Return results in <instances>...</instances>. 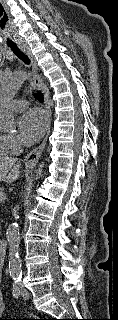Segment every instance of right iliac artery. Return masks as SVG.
Here are the masks:
<instances>
[{
    "instance_id": "82829eb1",
    "label": "right iliac artery",
    "mask_w": 118,
    "mask_h": 320,
    "mask_svg": "<svg viewBox=\"0 0 118 320\" xmlns=\"http://www.w3.org/2000/svg\"><path fill=\"white\" fill-rule=\"evenodd\" d=\"M20 285H21V282L19 280H16L13 283L12 293L15 298H18L20 295V291H21Z\"/></svg>"
}]
</instances>
